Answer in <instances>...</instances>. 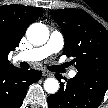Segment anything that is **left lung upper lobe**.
<instances>
[{"mask_svg": "<svg viewBox=\"0 0 108 108\" xmlns=\"http://www.w3.org/2000/svg\"><path fill=\"white\" fill-rule=\"evenodd\" d=\"M51 14L64 34L63 54L74 57L78 73L108 71V31L79 9L57 10Z\"/></svg>", "mask_w": 108, "mask_h": 108, "instance_id": "left-lung-upper-lobe-1", "label": "left lung upper lobe"}]
</instances>
